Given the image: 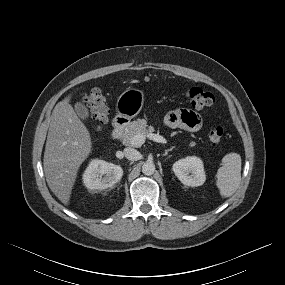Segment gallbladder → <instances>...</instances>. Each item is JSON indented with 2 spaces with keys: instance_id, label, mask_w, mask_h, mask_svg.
Masks as SVG:
<instances>
[{
  "instance_id": "gallbladder-1",
  "label": "gallbladder",
  "mask_w": 285,
  "mask_h": 285,
  "mask_svg": "<svg viewBox=\"0 0 285 285\" xmlns=\"http://www.w3.org/2000/svg\"><path fill=\"white\" fill-rule=\"evenodd\" d=\"M74 107H75V111H76L77 115L81 119L86 120L89 117V111L83 103L76 102Z\"/></svg>"
}]
</instances>
